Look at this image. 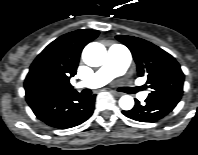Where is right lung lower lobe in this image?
Masks as SVG:
<instances>
[{
    "mask_svg": "<svg viewBox=\"0 0 198 155\" xmlns=\"http://www.w3.org/2000/svg\"><path fill=\"white\" fill-rule=\"evenodd\" d=\"M94 102L95 95L83 98L75 91L31 104L30 107L37 118L46 124L67 129L86 121L93 113Z\"/></svg>",
    "mask_w": 198,
    "mask_h": 155,
    "instance_id": "right-lung-lower-lobe-1",
    "label": "right lung lower lobe"
}]
</instances>
